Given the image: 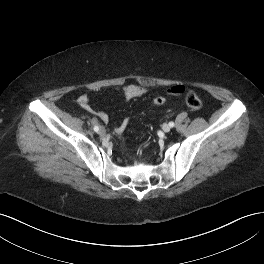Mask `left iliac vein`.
Wrapping results in <instances>:
<instances>
[{
    "instance_id": "obj_1",
    "label": "left iliac vein",
    "mask_w": 264,
    "mask_h": 264,
    "mask_svg": "<svg viewBox=\"0 0 264 264\" xmlns=\"http://www.w3.org/2000/svg\"><path fill=\"white\" fill-rule=\"evenodd\" d=\"M162 129H163V131L164 132H169L170 130H171V127H170V125L169 124H163V126H162Z\"/></svg>"
}]
</instances>
